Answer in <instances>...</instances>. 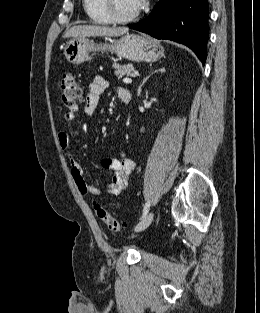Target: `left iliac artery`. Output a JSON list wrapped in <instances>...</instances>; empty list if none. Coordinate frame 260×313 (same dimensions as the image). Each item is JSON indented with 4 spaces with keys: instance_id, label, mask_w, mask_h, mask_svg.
Masks as SVG:
<instances>
[{
    "instance_id": "44dca946",
    "label": "left iliac artery",
    "mask_w": 260,
    "mask_h": 313,
    "mask_svg": "<svg viewBox=\"0 0 260 313\" xmlns=\"http://www.w3.org/2000/svg\"><path fill=\"white\" fill-rule=\"evenodd\" d=\"M150 204H151L150 201L146 202L144 209H143L142 218H144L147 215L149 208H150Z\"/></svg>"
}]
</instances>
